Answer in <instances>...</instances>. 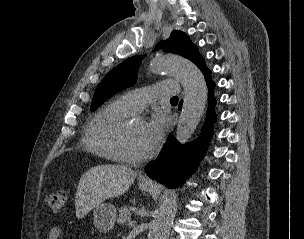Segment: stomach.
Here are the masks:
<instances>
[{
  "instance_id": "1",
  "label": "stomach",
  "mask_w": 304,
  "mask_h": 239,
  "mask_svg": "<svg viewBox=\"0 0 304 239\" xmlns=\"http://www.w3.org/2000/svg\"><path fill=\"white\" fill-rule=\"evenodd\" d=\"M139 188L142 191H148L150 186L147 184H139ZM116 215V208L111 203L98 204L93 212L95 227L100 232H109L115 225Z\"/></svg>"
}]
</instances>
